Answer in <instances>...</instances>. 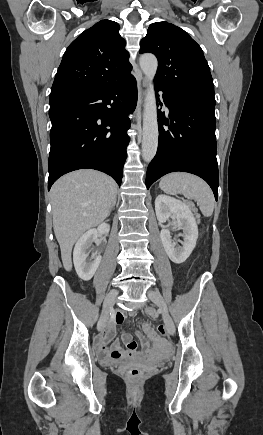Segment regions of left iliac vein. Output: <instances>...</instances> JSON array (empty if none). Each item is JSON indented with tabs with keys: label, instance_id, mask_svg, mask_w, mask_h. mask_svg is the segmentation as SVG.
I'll return each instance as SVG.
<instances>
[{
	"label": "left iliac vein",
	"instance_id": "1",
	"mask_svg": "<svg viewBox=\"0 0 263 435\" xmlns=\"http://www.w3.org/2000/svg\"><path fill=\"white\" fill-rule=\"evenodd\" d=\"M149 299L159 308V312L163 316V320L167 329V332L170 335H173L175 332V326L172 318L170 317L167 309V305L162 295L158 291H148L147 293Z\"/></svg>",
	"mask_w": 263,
	"mask_h": 435
}]
</instances>
